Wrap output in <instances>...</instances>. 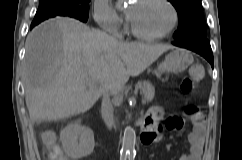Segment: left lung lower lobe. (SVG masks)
<instances>
[{
    "mask_svg": "<svg viewBox=\"0 0 242 160\" xmlns=\"http://www.w3.org/2000/svg\"><path fill=\"white\" fill-rule=\"evenodd\" d=\"M172 43L175 46L186 48L200 54L209 61L213 68V53L210 46V42L207 40V38H190L187 40L174 41Z\"/></svg>",
    "mask_w": 242,
    "mask_h": 160,
    "instance_id": "1",
    "label": "left lung lower lobe"
}]
</instances>
